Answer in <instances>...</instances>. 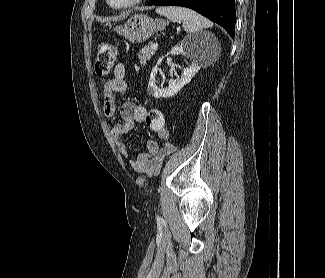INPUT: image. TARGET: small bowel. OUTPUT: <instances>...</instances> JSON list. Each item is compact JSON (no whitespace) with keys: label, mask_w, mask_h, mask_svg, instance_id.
I'll return each mask as SVG.
<instances>
[{"label":"small bowel","mask_w":325,"mask_h":278,"mask_svg":"<svg viewBox=\"0 0 325 278\" xmlns=\"http://www.w3.org/2000/svg\"><path fill=\"white\" fill-rule=\"evenodd\" d=\"M126 69L123 63H119L114 71V77L108 80L102 91L103 96V112L108 119L112 118L116 111L115 97L119 93L127 90L128 84L125 77ZM147 115V109L139 106L132 101L125 102L120 110L121 121L116 123L112 128V135L120 140L126 136L136 123H144ZM160 134L164 136L163 132ZM119 149L123 154H127V146L124 142H119ZM175 147L165 141L162 146L154 140H149L147 143V151L140 153L132 161L133 168L139 173L148 175L157 174L162 168L167 157L173 153Z\"/></svg>","instance_id":"c3829d8e"}]
</instances>
